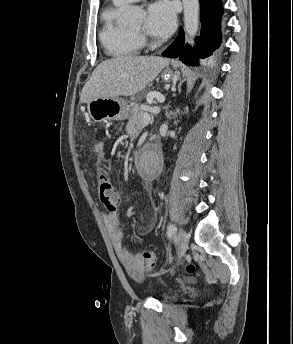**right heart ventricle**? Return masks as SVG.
<instances>
[{
  "label": "right heart ventricle",
  "instance_id": "1",
  "mask_svg": "<svg viewBox=\"0 0 293 344\" xmlns=\"http://www.w3.org/2000/svg\"><path fill=\"white\" fill-rule=\"evenodd\" d=\"M124 6L112 1L101 13L99 38L106 53L113 57H134L141 50L138 36L119 24Z\"/></svg>",
  "mask_w": 293,
  "mask_h": 344
}]
</instances>
